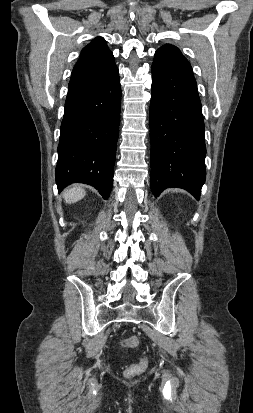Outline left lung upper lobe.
<instances>
[{
    "label": "left lung upper lobe",
    "instance_id": "obj_1",
    "mask_svg": "<svg viewBox=\"0 0 253 413\" xmlns=\"http://www.w3.org/2000/svg\"><path fill=\"white\" fill-rule=\"evenodd\" d=\"M161 48L174 50V51L178 52L183 58H185L176 46H173L171 44H166V45L162 46Z\"/></svg>",
    "mask_w": 253,
    "mask_h": 413
}]
</instances>
